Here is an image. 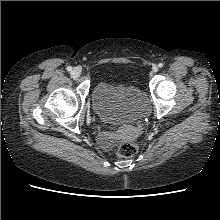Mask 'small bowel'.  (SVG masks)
I'll return each mask as SVG.
<instances>
[{
  "label": "small bowel",
  "instance_id": "obj_1",
  "mask_svg": "<svg viewBox=\"0 0 220 220\" xmlns=\"http://www.w3.org/2000/svg\"><path fill=\"white\" fill-rule=\"evenodd\" d=\"M102 115H103V117H105V114H104V113H102Z\"/></svg>",
  "mask_w": 220,
  "mask_h": 220
}]
</instances>
